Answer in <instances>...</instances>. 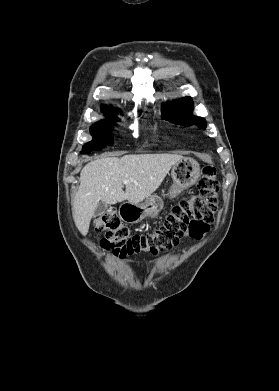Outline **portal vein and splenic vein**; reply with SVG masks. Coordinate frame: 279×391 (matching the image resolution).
Here are the masks:
<instances>
[{"instance_id":"18ae733b","label":"portal vein and splenic vein","mask_w":279,"mask_h":391,"mask_svg":"<svg viewBox=\"0 0 279 391\" xmlns=\"http://www.w3.org/2000/svg\"><path fill=\"white\" fill-rule=\"evenodd\" d=\"M129 182H131V181L125 180V181L123 182V184H127V183H129Z\"/></svg>"}]
</instances>
